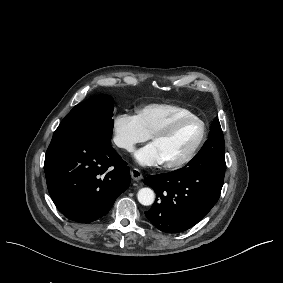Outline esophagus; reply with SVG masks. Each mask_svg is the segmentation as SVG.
Instances as JSON below:
<instances>
[{
  "mask_svg": "<svg viewBox=\"0 0 283 283\" xmlns=\"http://www.w3.org/2000/svg\"><path fill=\"white\" fill-rule=\"evenodd\" d=\"M131 177L135 181H139L143 178L141 171L138 170L137 168H133L131 170Z\"/></svg>",
  "mask_w": 283,
  "mask_h": 283,
  "instance_id": "obj_1",
  "label": "esophagus"
}]
</instances>
